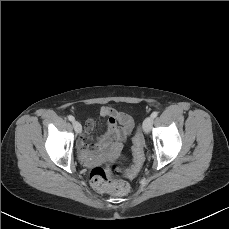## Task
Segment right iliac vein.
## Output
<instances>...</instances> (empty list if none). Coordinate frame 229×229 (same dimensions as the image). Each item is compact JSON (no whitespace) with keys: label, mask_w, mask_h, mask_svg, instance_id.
<instances>
[{"label":"right iliac vein","mask_w":229,"mask_h":229,"mask_svg":"<svg viewBox=\"0 0 229 229\" xmlns=\"http://www.w3.org/2000/svg\"><path fill=\"white\" fill-rule=\"evenodd\" d=\"M73 127L76 133H81L82 126L79 121H73Z\"/></svg>","instance_id":"obj_1"}]
</instances>
